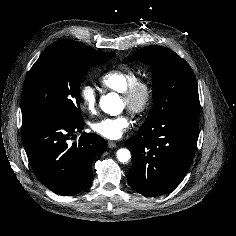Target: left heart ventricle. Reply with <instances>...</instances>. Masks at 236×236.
Instances as JSON below:
<instances>
[{
  "label": "left heart ventricle",
  "mask_w": 236,
  "mask_h": 236,
  "mask_svg": "<svg viewBox=\"0 0 236 236\" xmlns=\"http://www.w3.org/2000/svg\"><path fill=\"white\" fill-rule=\"evenodd\" d=\"M121 101H122V106L125 107L126 106L125 102L123 100Z\"/></svg>",
  "instance_id": "left-heart-ventricle-1"
}]
</instances>
